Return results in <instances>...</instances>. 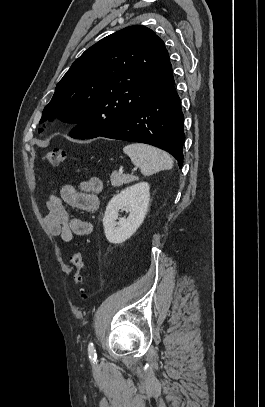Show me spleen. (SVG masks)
Instances as JSON below:
<instances>
[{
	"label": "spleen",
	"mask_w": 265,
	"mask_h": 407,
	"mask_svg": "<svg viewBox=\"0 0 265 407\" xmlns=\"http://www.w3.org/2000/svg\"><path fill=\"white\" fill-rule=\"evenodd\" d=\"M132 163L140 167L145 176L173 167V160L165 151L143 143H132L123 148Z\"/></svg>",
	"instance_id": "obj_1"
}]
</instances>
